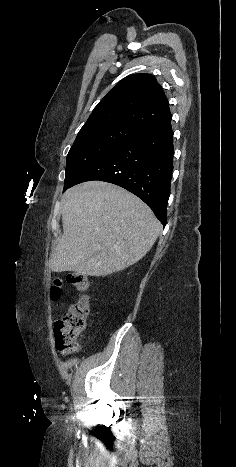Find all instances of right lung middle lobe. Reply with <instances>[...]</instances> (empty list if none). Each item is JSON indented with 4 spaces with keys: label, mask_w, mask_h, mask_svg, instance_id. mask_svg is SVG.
Returning a JSON list of instances; mask_svg holds the SVG:
<instances>
[{
    "label": "right lung middle lobe",
    "mask_w": 236,
    "mask_h": 467,
    "mask_svg": "<svg viewBox=\"0 0 236 467\" xmlns=\"http://www.w3.org/2000/svg\"><path fill=\"white\" fill-rule=\"evenodd\" d=\"M137 133L134 129L119 125H103L80 131L67 155L64 189L91 165Z\"/></svg>",
    "instance_id": "1"
}]
</instances>
